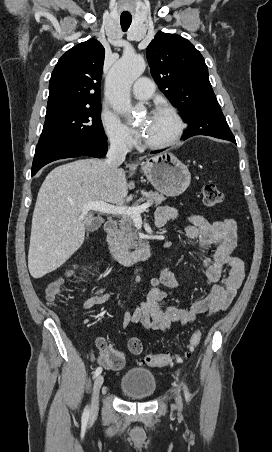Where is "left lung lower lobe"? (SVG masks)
Listing matches in <instances>:
<instances>
[{
	"mask_svg": "<svg viewBox=\"0 0 272 452\" xmlns=\"http://www.w3.org/2000/svg\"><path fill=\"white\" fill-rule=\"evenodd\" d=\"M194 135H205V134H201L200 132H198V131H186L185 133H184V135L182 136V139H187V138H189V137H191V136H194ZM213 137H216V136H213ZM216 138H220V139H227V140H229V141H231V142H233V143H235L236 144V141H235V138H234V136L233 135H228V136H217ZM160 151H153L152 153H159Z\"/></svg>",
	"mask_w": 272,
	"mask_h": 452,
	"instance_id": "1",
	"label": "left lung lower lobe"
}]
</instances>
